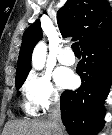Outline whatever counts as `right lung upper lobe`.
I'll return each mask as SVG.
<instances>
[{"mask_svg": "<svg viewBox=\"0 0 112 135\" xmlns=\"http://www.w3.org/2000/svg\"><path fill=\"white\" fill-rule=\"evenodd\" d=\"M57 23L63 37L72 36L83 47L112 33V7L106 0H67L57 12ZM41 38L42 29L37 20L23 35L16 79L28 75L33 48Z\"/></svg>", "mask_w": 112, "mask_h": 135, "instance_id": "right-lung-upper-lobe-1", "label": "right lung upper lobe"}]
</instances>
